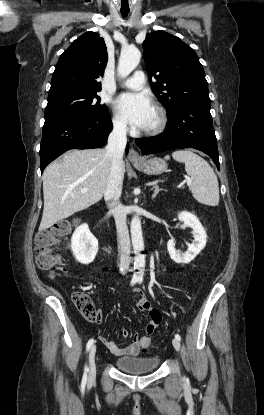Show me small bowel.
Here are the masks:
<instances>
[{
  "label": "small bowel",
  "mask_w": 264,
  "mask_h": 415,
  "mask_svg": "<svg viewBox=\"0 0 264 415\" xmlns=\"http://www.w3.org/2000/svg\"><path fill=\"white\" fill-rule=\"evenodd\" d=\"M139 298L136 302V306L140 311L149 312V320L144 327V331L147 334H151L161 322V313L157 309H152L149 301L137 292ZM122 336L124 338H129L130 334L128 331L123 330ZM101 343L114 355L123 356V357H136L139 352L145 350V346L141 342L139 335H134V340L126 347H119L114 341L108 340L105 337L99 338Z\"/></svg>",
  "instance_id": "c3829d8e"
}]
</instances>
